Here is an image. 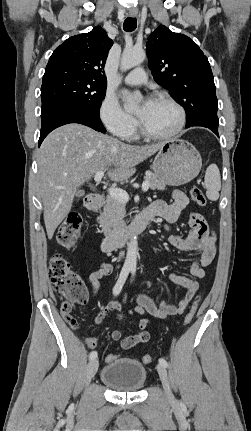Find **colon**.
<instances>
[{"mask_svg":"<svg viewBox=\"0 0 251 431\" xmlns=\"http://www.w3.org/2000/svg\"><path fill=\"white\" fill-rule=\"evenodd\" d=\"M191 200L199 206L206 205V197L203 191L194 186L190 190ZM82 225V217L78 212L70 213L57 230V243L64 248H72L78 242ZM49 273L55 290L62 294L66 300L60 305V314L71 328L77 327V321L71 316L72 303L85 304L87 301V292L80 277L72 270L68 260L61 254H54L50 257ZM199 297L191 306L189 312L184 318V324L188 325L193 320ZM85 343L90 351L95 352L98 349L99 341L96 337H88ZM117 353H108L104 364L110 366L117 362ZM153 357L149 354L143 356L142 361L145 364L151 363Z\"/></svg>","mask_w":251,"mask_h":431,"instance_id":"colon-1","label":"colon"}]
</instances>
